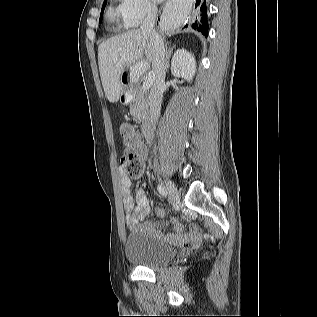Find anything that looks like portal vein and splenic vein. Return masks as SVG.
Listing matches in <instances>:
<instances>
[{
	"label": "portal vein and splenic vein",
	"instance_id": "1",
	"mask_svg": "<svg viewBox=\"0 0 317 317\" xmlns=\"http://www.w3.org/2000/svg\"><path fill=\"white\" fill-rule=\"evenodd\" d=\"M143 67V63H140L139 65V69H141ZM153 83V73H149L148 77L146 78V80L143 82V89L147 90L151 87Z\"/></svg>",
	"mask_w": 317,
	"mask_h": 317
}]
</instances>
